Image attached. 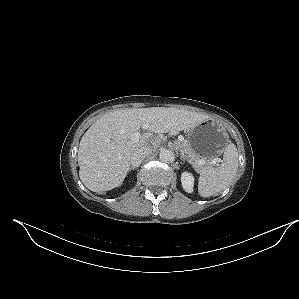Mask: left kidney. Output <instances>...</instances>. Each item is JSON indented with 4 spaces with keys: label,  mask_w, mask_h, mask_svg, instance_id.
<instances>
[{
    "label": "left kidney",
    "mask_w": 299,
    "mask_h": 299,
    "mask_svg": "<svg viewBox=\"0 0 299 299\" xmlns=\"http://www.w3.org/2000/svg\"><path fill=\"white\" fill-rule=\"evenodd\" d=\"M181 183L183 189L188 192H193V186H194V177L191 173L183 172L181 175Z\"/></svg>",
    "instance_id": "left-kidney-1"
}]
</instances>
